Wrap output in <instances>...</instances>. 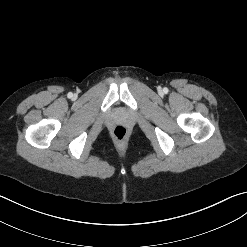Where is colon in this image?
<instances>
[{
	"label": "colon",
	"mask_w": 247,
	"mask_h": 247,
	"mask_svg": "<svg viewBox=\"0 0 247 247\" xmlns=\"http://www.w3.org/2000/svg\"><path fill=\"white\" fill-rule=\"evenodd\" d=\"M113 134L118 140H123L127 135V128L124 125L119 124L115 126Z\"/></svg>",
	"instance_id": "obj_1"
}]
</instances>
